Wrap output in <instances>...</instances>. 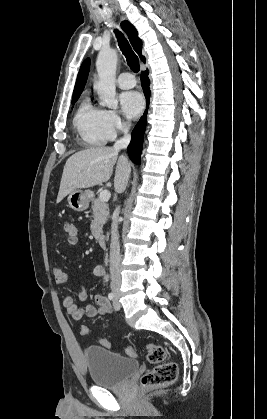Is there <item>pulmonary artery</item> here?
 <instances>
[{
  "label": "pulmonary artery",
  "mask_w": 267,
  "mask_h": 419,
  "mask_svg": "<svg viewBox=\"0 0 267 419\" xmlns=\"http://www.w3.org/2000/svg\"><path fill=\"white\" fill-rule=\"evenodd\" d=\"M117 84L120 88L129 89L136 85L134 76L129 72L121 73L117 78Z\"/></svg>",
  "instance_id": "obj_1"
}]
</instances>
